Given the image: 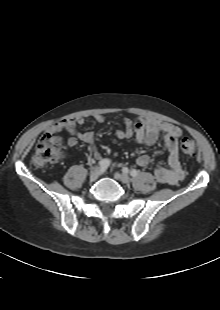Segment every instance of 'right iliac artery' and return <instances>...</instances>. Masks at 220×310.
<instances>
[{"instance_id": "82829eb1", "label": "right iliac artery", "mask_w": 220, "mask_h": 310, "mask_svg": "<svg viewBox=\"0 0 220 310\" xmlns=\"http://www.w3.org/2000/svg\"><path fill=\"white\" fill-rule=\"evenodd\" d=\"M109 165H110V160L109 159H102L99 162V167H100L101 170H105Z\"/></svg>"}]
</instances>
